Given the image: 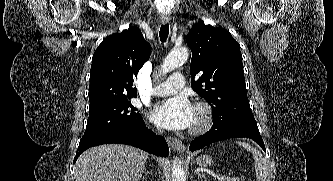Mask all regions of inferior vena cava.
Returning a JSON list of instances; mask_svg holds the SVG:
<instances>
[{"mask_svg":"<svg viewBox=\"0 0 333 181\" xmlns=\"http://www.w3.org/2000/svg\"><path fill=\"white\" fill-rule=\"evenodd\" d=\"M159 132H160V134H162V133H163V131H162V130H159Z\"/></svg>","mask_w":333,"mask_h":181,"instance_id":"inferior-vena-cava-1","label":"inferior vena cava"}]
</instances>
